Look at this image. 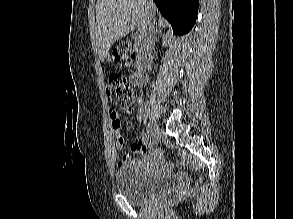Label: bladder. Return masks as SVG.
<instances>
[{
  "label": "bladder",
  "instance_id": "bladder-1",
  "mask_svg": "<svg viewBox=\"0 0 293 219\" xmlns=\"http://www.w3.org/2000/svg\"><path fill=\"white\" fill-rule=\"evenodd\" d=\"M168 178L151 175L140 166H124L115 173V186L118 193L131 203H142L164 190Z\"/></svg>",
  "mask_w": 293,
  "mask_h": 219
}]
</instances>
